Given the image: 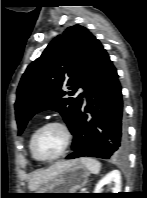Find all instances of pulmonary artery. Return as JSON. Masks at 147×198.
<instances>
[{
  "instance_id": "pulmonary-artery-1",
  "label": "pulmonary artery",
  "mask_w": 147,
  "mask_h": 198,
  "mask_svg": "<svg viewBox=\"0 0 147 198\" xmlns=\"http://www.w3.org/2000/svg\"><path fill=\"white\" fill-rule=\"evenodd\" d=\"M79 93H83V90H82V89H80V90H79ZM85 100H86V98H85Z\"/></svg>"
}]
</instances>
